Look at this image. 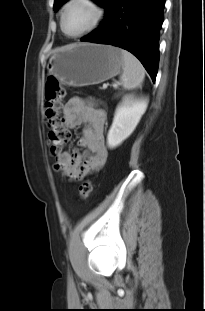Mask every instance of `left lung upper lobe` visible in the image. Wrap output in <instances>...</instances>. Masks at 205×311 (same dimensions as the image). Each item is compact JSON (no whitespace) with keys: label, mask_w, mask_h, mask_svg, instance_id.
Instances as JSON below:
<instances>
[{"label":"left lung upper lobe","mask_w":205,"mask_h":311,"mask_svg":"<svg viewBox=\"0 0 205 311\" xmlns=\"http://www.w3.org/2000/svg\"><path fill=\"white\" fill-rule=\"evenodd\" d=\"M66 1L67 0H54L53 8L57 10ZM94 1L106 9V15L110 12L111 6L114 2V0H94Z\"/></svg>","instance_id":"5c2ea615"}]
</instances>
